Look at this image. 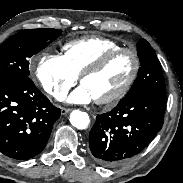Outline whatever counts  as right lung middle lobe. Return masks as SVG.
Segmentation results:
<instances>
[{
    "instance_id": "dd1d6c3e",
    "label": "right lung middle lobe",
    "mask_w": 183,
    "mask_h": 183,
    "mask_svg": "<svg viewBox=\"0 0 183 183\" xmlns=\"http://www.w3.org/2000/svg\"><path fill=\"white\" fill-rule=\"evenodd\" d=\"M56 29H31L16 33L0 46V79L29 76V59L61 35Z\"/></svg>"
}]
</instances>
